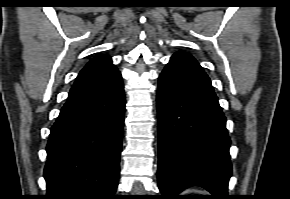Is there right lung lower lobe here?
<instances>
[{"label":"right lung lower lobe","mask_w":290,"mask_h":199,"mask_svg":"<svg viewBox=\"0 0 290 199\" xmlns=\"http://www.w3.org/2000/svg\"><path fill=\"white\" fill-rule=\"evenodd\" d=\"M124 109L122 78L67 99L47 144L45 199H115Z\"/></svg>","instance_id":"right-lung-lower-lobe-1"}]
</instances>
